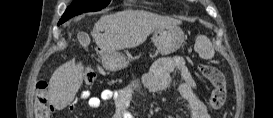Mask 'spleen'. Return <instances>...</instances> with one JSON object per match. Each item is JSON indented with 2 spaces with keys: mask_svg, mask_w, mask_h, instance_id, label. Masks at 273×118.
<instances>
[{
  "mask_svg": "<svg viewBox=\"0 0 273 118\" xmlns=\"http://www.w3.org/2000/svg\"><path fill=\"white\" fill-rule=\"evenodd\" d=\"M194 49L201 58L206 60L212 59L215 54L211 41L204 35H199L196 38Z\"/></svg>",
  "mask_w": 273,
  "mask_h": 118,
  "instance_id": "obj_1",
  "label": "spleen"
}]
</instances>
